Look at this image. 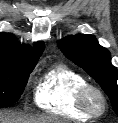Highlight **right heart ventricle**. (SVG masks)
Masks as SVG:
<instances>
[{
    "label": "right heart ventricle",
    "instance_id": "1",
    "mask_svg": "<svg viewBox=\"0 0 118 123\" xmlns=\"http://www.w3.org/2000/svg\"><path fill=\"white\" fill-rule=\"evenodd\" d=\"M88 84L79 72L63 64H54L37 81L34 100L36 105L54 115L90 120L77 106L79 90Z\"/></svg>",
    "mask_w": 118,
    "mask_h": 123
}]
</instances>
